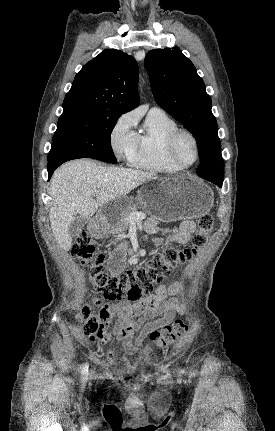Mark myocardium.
I'll list each match as a JSON object with an SVG mask.
<instances>
[{
	"label": "myocardium",
	"instance_id": "obj_1",
	"mask_svg": "<svg viewBox=\"0 0 275 431\" xmlns=\"http://www.w3.org/2000/svg\"><path fill=\"white\" fill-rule=\"evenodd\" d=\"M181 136H187L188 138H190L194 146L195 157H194V160L189 164H183L177 158V155H176V145ZM166 154L168 159L178 168L187 169L192 167L198 161L199 155H200L199 143L196 136L188 129H185V128L176 129L174 132L171 133V135L167 140Z\"/></svg>",
	"mask_w": 275,
	"mask_h": 431
}]
</instances>
